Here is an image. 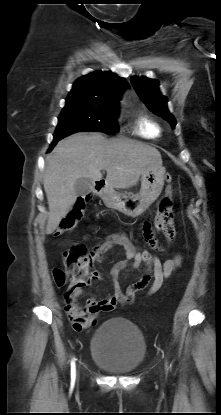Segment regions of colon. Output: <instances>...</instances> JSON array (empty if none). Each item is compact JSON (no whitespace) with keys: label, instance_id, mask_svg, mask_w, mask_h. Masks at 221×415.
I'll list each match as a JSON object with an SVG mask.
<instances>
[{"label":"colon","instance_id":"colon-1","mask_svg":"<svg viewBox=\"0 0 221 415\" xmlns=\"http://www.w3.org/2000/svg\"><path fill=\"white\" fill-rule=\"evenodd\" d=\"M165 181L168 184L166 187L165 196L161 199L158 212L154 221L153 233L160 231L163 227L167 226L173 219L172 211V177L170 174L165 176ZM88 201V197L81 198L74 206V208L63 219L59 228L57 229L55 236H61L71 232L78 220L80 219L85 203ZM93 261V257L90 252L83 245H76L65 256L63 268H56L53 270V279L57 286H63L69 277L72 278L70 285L84 286L89 279L93 278V273L88 276V271ZM69 285V286H70Z\"/></svg>","mask_w":221,"mask_h":415}]
</instances>
